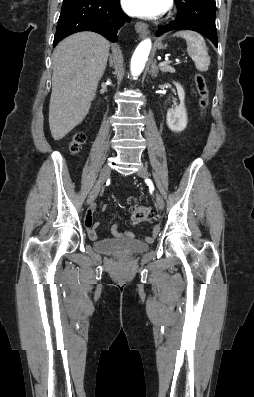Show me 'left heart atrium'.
<instances>
[{"label": "left heart atrium", "instance_id": "39dd6f15", "mask_svg": "<svg viewBox=\"0 0 254 397\" xmlns=\"http://www.w3.org/2000/svg\"><path fill=\"white\" fill-rule=\"evenodd\" d=\"M170 0H122L123 9L130 15L155 18L167 11Z\"/></svg>", "mask_w": 254, "mask_h": 397}]
</instances>
